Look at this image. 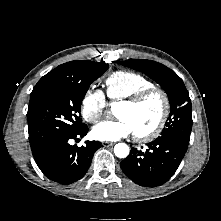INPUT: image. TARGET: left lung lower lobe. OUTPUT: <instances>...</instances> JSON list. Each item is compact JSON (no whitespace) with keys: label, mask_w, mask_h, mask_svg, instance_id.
<instances>
[{"label":"left lung lower lobe","mask_w":221,"mask_h":221,"mask_svg":"<svg viewBox=\"0 0 221 221\" xmlns=\"http://www.w3.org/2000/svg\"><path fill=\"white\" fill-rule=\"evenodd\" d=\"M147 146L144 152L133 148L120 166L133 182L145 187L160 186L176 172L188 144L172 138H157Z\"/></svg>","instance_id":"left-lung-lower-lobe-1"}]
</instances>
